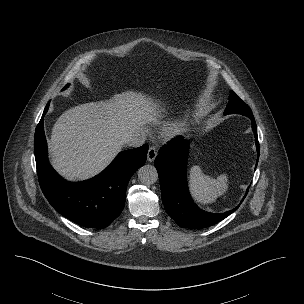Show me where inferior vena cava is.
<instances>
[{
	"instance_id": "obj_1",
	"label": "inferior vena cava",
	"mask_w": 304,
	"mask_h": 304,
	"mask_svg": "<svg viewBox=\"0 0 304 304\" xmlns=\"http://www.w3.org/2000/svg\"><path fill=\"white\" fill-rule=\"evenodd\" d=\"M145 141L144 133L140 130H134L125 139V144L130 147H140Z\"/></svg>"
}]
</instances>
